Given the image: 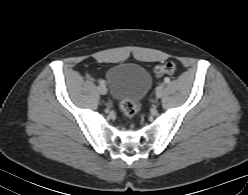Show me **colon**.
Listing matches in <instances>:
<instances>
[{"instance_id":"colon-1","label":"colon","mask_w":248,"mask_h":195,"mask_svg":"<svg viewBox=\"0 0 248 195\" xmlns=\"http://www.w3.org/2000/svg\"><path fill=\"white\" fill-rule=\"evenodd\" d=\"M178 69L177 64L174 61H168L162 65L156 66L154 73L157 76H162L164 74H173ZM120 108L125 118L132 120L135 118L137 113V104L133 100L123 99L120 102Z\"/></svg>"}]
</instances>
